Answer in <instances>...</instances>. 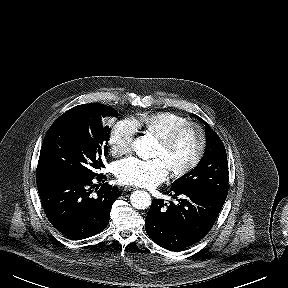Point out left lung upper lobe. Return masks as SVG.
<instances>
[{
  "mask_svg": "<svg viewBox=\"0 0 288 288\" xmlns=\"http://www.w3.org/2000/svg\"><path fill=\"white\" fill-rule=\"evenodd\" d=\"M206 124V150L200 163L189 173L173 182L171 189L196 191L225 201L228 193V162L225 147Z\"/></svg>",
  "mask_w": 288,
  "mask_h": 288,
  "instance_id": "1",
  "label": "left lung upper lobe"
}]
</instances>
